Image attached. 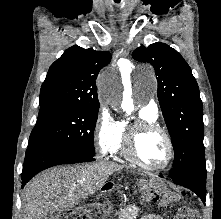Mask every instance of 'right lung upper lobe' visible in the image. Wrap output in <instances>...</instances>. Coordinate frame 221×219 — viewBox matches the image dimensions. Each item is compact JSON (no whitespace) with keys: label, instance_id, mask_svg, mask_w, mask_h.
Wrapping results in <instances>:
<instances>
[{"label":"right lung upper lobe","instance_id":"1","mask_svg":"<svg viewBox=\"0 0 221 219\" xmlns=\"http://www.w3.org/2000/svg\"><path fill=\"white\" fill-rule=\"evenodd\" d=\"M111 54L79 46L68 48L50 67L40 91V105L67 103L99 106L96 78Z\"/></svg>","mask_w":221,"mask_h":219}]
</instances>
